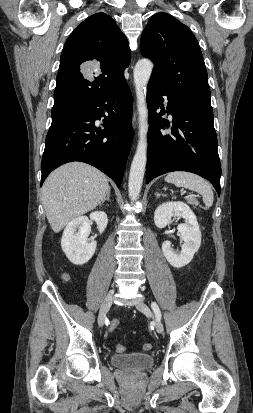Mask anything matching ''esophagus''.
<instances>
[{"mask_svg":"<svg viewBox=\"0 0 253 413\" xmlns=\"http://www.w3.org/2000/svg\"><path fill=\"white\" fill-rule=\"evenodd\" d=\"M133 123H134V126L136 127V124H137V113H136V111H134V114H133Z\"/></svg>","mask_w":253,"mask_h":413,"instance_id":"34e87169","label":"esophagus"}]
</instances>
